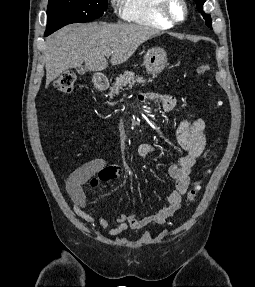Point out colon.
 I'll return each mask as SVG.
<instances>
[{
	"label": "colon",
	"instance_id": "1",
	"mask_svg": "<svg viewBox=\"0 0 255 287\" xmlns=\"http://www.w3.org/2000/svg\"><path fill=\"white\" fill-rule=\"evenodd\" d=\"M210 66L207 63L200 64L196 71L199 75L208 73ZM75 74L72 71H65L54 82V89L56 92L62 94H69L74 89ZM200 189V181L194 183L192 189L188 193V200H193Z\"/></svg>",
	"mask_w": 255,
	"mask_h": 287
}]
</instances>
